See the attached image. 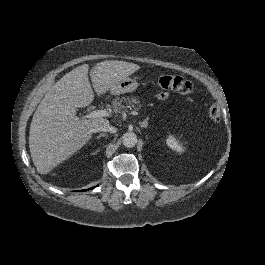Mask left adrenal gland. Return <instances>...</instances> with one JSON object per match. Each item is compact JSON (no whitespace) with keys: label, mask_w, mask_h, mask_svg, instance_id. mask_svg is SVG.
<instances>
[{"label":"left adrenal gland","mask_w":265,"mask_h":265,"mask_svg":"<svg viewBox=\"0 0 265 265\" xmlns=\"http://www.w3.org/2000/svg\"><path fill=\"white\" fill-rule=\"evenodd\" d=\"M149 117H146L142 122H139L140 127L147 128Z\"/></svg>","instance_id":"a2214340"}]
</instances>
